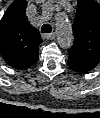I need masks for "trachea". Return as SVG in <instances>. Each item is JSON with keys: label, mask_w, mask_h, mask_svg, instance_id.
<instances>
[{"label": "trachea", "mask_w": 100, "mask_h": 118, "mask_svg": "<svg viewBox=\"0 0 100 118\" xmlns=\"http://www.w3.org/2000/svg\"><path fill=\"white\" fill-rule=\"evenodd\" d=\"M41 31H42V33H51L52 27L49 24H44L41 27Z\"/></svg>", "instance_id": "3493384b"}]
</instances>
